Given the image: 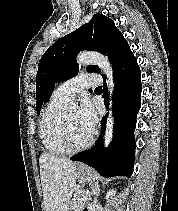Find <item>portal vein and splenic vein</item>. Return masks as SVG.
Returning <instances> with one entry per match:
<instances>
[{"instance_id":"portal-vein-and-splenic-vein-1","label":"portal vein and splenic vein","mask_w":178,"mask_h":211,"mask_svg":"<svg viewBox=\"0 0 178 211\" xmlns=\"http://www.w3.org/2000/svg\"><path fill=\"white\" fill-rule=\"evenodd\" d=\"M84 200H86V197H85V198H81V199H79V201H84Z\"/></svg>"}]
</instances>
